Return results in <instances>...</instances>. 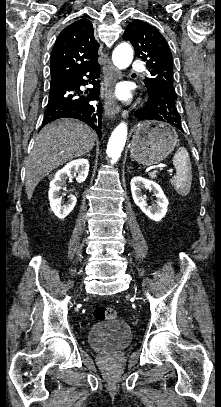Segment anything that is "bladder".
Listing matches in <instances>:
<instances>
[{
	"instance_id": "obj_1",
	"label": "bladder",
	"mask_w": 221,
	"mask_h": 407,
	"mask_svg": "<svg viewBox=\"0 0 221 407\" xmlns=\"http://www.w3.org/2000/svg\"><path fill=\"white\" fill-rule=\"evenodd\" d=\"M87 341L98 352L124 350L132 341V329L124 319L96 323L88 329Z\"/></svg>"
}]
</instances>
